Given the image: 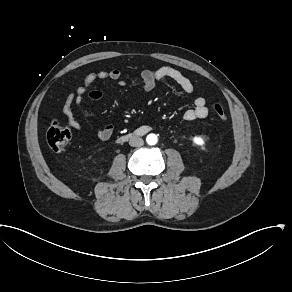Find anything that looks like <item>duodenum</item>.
Here are the masks:
<instances>
[{
    "instance_id": "obj_1",
    "label": "duodenum",
    "mask_w": 292,
    "mask_h": 292,
    "mask_svg": "<svg viewBox=\"0 0 292 292\" xmlns=\"http://www.w3.org/2000/svg\"><path fill=\"white\" fill-rule=\"evenodd\" d=\"M138 133H128L125 135L120 136L121 138H128V137H132V136H136Z\"/></svg>"
}]
</instances>
